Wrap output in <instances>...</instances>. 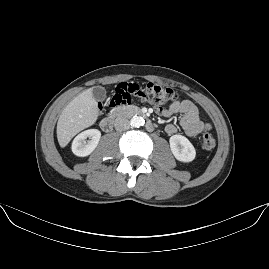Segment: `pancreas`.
Returning a JSON list of instances; mask_svg holds the SVG:
<instances>
[{
	"label": "pancreas",
	"mask_w": 269,
	"mask_h": 269,
	"mask_svg": "<svg viewBox=\"0 0 269 269\" xmlns=\"http://www.w3.org/2000/svg\"><path fill=\"white\" fill-rule=\"evenodd\" d=\"M126 110L127 111H135V110H138V107L136 106H133V105H129V106H126Z\"/></svg>",
	"instance_id": "pancreas-1"
}]
</instances>
